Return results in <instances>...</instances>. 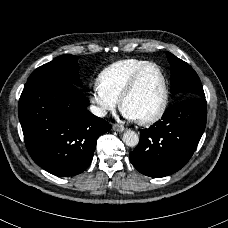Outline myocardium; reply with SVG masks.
Listing matches in <instances>:
<instances>
[{
	"instance_id": "1",
	"label": "myocardium",
	"mask_w": 228,
	"mask_h": 228,
	"mask_svg": "<svg viewBox=\"0 0 228 228\" xmlns=\"http://www.w3.org/2000/svg\"><path fill=\"white\" fill-rule=\"evenodd\" d=\"M150 68L157 69L159 71V73L161 74V77L163 80V85H164V101H163V104H162L161 108L159 109V111L156 114H154L153 116H151L149 118H145V119H136V122L141 125H150V124L156 123L159 120H161L163 118V116L165 115V113L168 109V106H169V102H170V90H169V83H168L166 73L159 64L151 62V63L143 66L142 68H140L132 77L129 85L127 86L126 90L124 91V93L122 94V96L120 98L121 110L123 112H125V104H126L127 100L129 99L130 96H132L135 93V91L137 90V88L139 86L142 76Z\"/></svg>"
}]
</instances>
